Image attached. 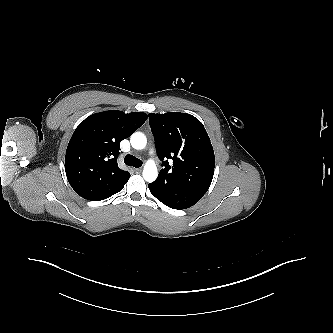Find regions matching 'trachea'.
<instances>
[{
    "instance_id": "obj_1",
    "label": "trachea",
    "mask_w": 333,
    "mask_h": 333,
    "mask_svg": "<svg viewBox=\"0 0 333 333\" xmlns=\"http://www.w3.org/2000/svg\"><path fill=\"white\" fill-rule=\"evenodd\" d=\"M124 162L126 165L128 166H133L135 168H139L142 166V161L138 158H136L135 156L133 155H126L125 158H124Z\"/></svg>"
}]
</instances>
